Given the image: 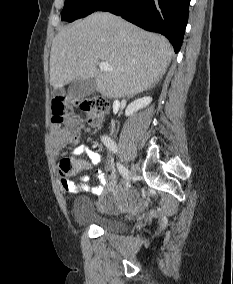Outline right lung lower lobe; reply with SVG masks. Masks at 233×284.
I'll return each mask as SVG.
<instances>
[{
    "instance_id": "right-lung-lower-lobe-1",
    "label": "right lung lower lobe",
    "mask_w": 233,
    "mask_h": 284,
    "mask_svg": "<svg viewBox=\"0 0 233 284\" xmlns=\"http://www.w3.org/2000/svg\"><path fill=\"white\" fill-rule=\"evenodd\" d=\"M190 0H106L96 11H109L133 24L163 34L179 52Z\"/></svg>"
}]
</instances>
